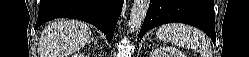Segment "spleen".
Listing matches in <instances>:
<instances>
[{
  "label": "spleen",
  "instance_id": "1",
  "mask_svg": "<svg viewBox=\"0 0 249 57\" xmlns=\"http://www.w3.org/2000/svg\"><path fill=\"white\" fill-rule=\"evenodd\" d=\"M156 36L173 45L197 50L202 57H212L210 42L205 34L190 25L166 24L158 29Z\"/></svg>",
  "mask_w": 249,
  "mask_h": 57
}]
</instances>
